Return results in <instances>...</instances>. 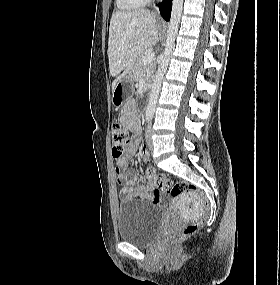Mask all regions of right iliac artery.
I'll return each mask as SVG.
<instances>
[{
	"label": "right iliac artery",
	"instance_id": "right-iliac-artery-1",
	"mask_svg": "<svg viewBox=\"0 0 280 285\" xmlns=\"http://www.w3.org/2000/svg\"><path fill=\"white\" fill-rule=\"evenodd\" d=\"M150 120V118H147V121H149Z\"/></svg>",
	"mask_w": 280,
	"mask_h": 285
}]
</instances>
